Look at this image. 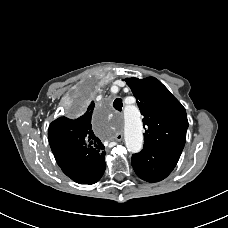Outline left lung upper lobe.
Returning <instances> with one entry per match:
<instances>
[{
  "instance_id": "1",
  "label": "left lung upper lobe",
  "mask_w": 228,
  "mask_h": 228,
  "mask_svg": "<svg viewBox=\"0 0 228 228\" xmlns=\"http://www.w3.org/2000/svg\"><path fill=\"white\" fill-rule=\"evenodd\" d=\"M143 118L144 146L182 152L188 120L185 108L156 78H126Z\"/></svg>"
}]
</instances>
